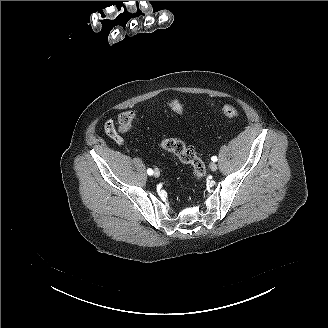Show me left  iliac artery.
Returning a JSON list of instances; mask_svg holds the SVG:
<instances>
[{"label": "left iliac artery", "instance_id": "obj_1", "mask_svg": "<svg viewBox=\"0 0 328 328\" xmlns=\"http://www.w3.org/2000/svg\"><path fill=\"white\" fill-rule=\"evenodd\" d=\"M211 160H212L213 162H216V161H217V157H216V156H213V157L211 158Z\"/></svg>", "mask_w": 328, "mask_h": 328}]
</instances>
